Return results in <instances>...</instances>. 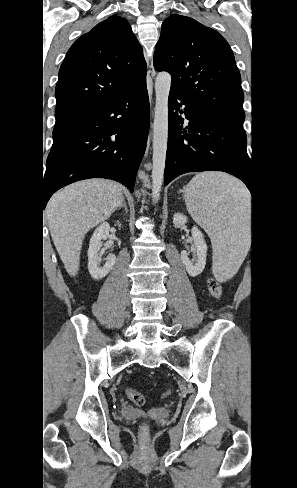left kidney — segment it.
Wrapping results in <instances>:
<instances>
[{"mask_svg": "<svg viewBox=\"0 0 297 488\" xmlns=\"http://www.w3.org/2000/svg\"><path fill=\"white\" fill-rule=\"evenodd\" d=\"M188 219L181 213L174 214L173 217V224L175 228H180L181 226L187 223ZM192 237L194 240L195 251L197 262L193 263L189 259V253L187 251L181 252V260L186 267L188 274L192 277L198 276L201 274L206 265V253H207V244L204 241V237L202 232L198 229V227L194 226L191 230Z\"/></svg>", "mask_w": 297, "mask_h": 488, "instance_id": "left-kidney-1", "label": "left kidney"}]
</instances>
